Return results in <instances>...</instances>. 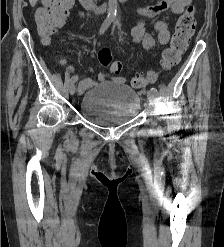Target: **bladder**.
I'll return each mask as SVG.
<instances>
[{
    "label": "bladder",
    "mask_w": 224,
    "mask_h": 247,
    "mask_svg": "<svg viewBox=\"0 0 224 247\" xmlns=\"http://www.w3.org/2000/svg\"><path fill=\"white\" fill-rule=\"evenodd\" d=\"M136 91L124 83L103 81L89 88L79 104L81 116L100 127H115L132 120L139 111Z\"/></svg>",
    "instance_id": "31cf9c89"
}]
</instances>
